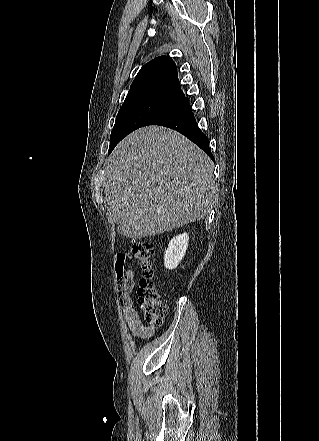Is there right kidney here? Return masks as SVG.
Here are the masks:
<instances>
[{"label": "right kidney", "instance_id": "ca27d5eb", "mask_svg": "<svg viewBox=\"0 0 319 441\" xmlns=\"http://www.w3.org/2000/svg\"><path fill=\"white\" fill-rule=\"evenodd\" d=\"M189 237L186 232L172 238L165 251L164 265L167 269H175L183 259L188 248Z\"/></svg>", "mask_w": 319, "mask_h": 441}]
</instances>
